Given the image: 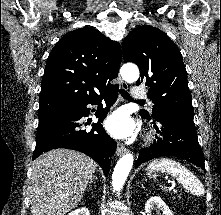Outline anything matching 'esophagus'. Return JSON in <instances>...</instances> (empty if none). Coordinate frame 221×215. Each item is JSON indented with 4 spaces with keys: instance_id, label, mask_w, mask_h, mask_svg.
Masks as SVG:
<instances>
[{
    "instance_id": "obj_1",
    "label": "esophagus",
    "mask_w": 221,
    "mask_h": 215,
    "mask_svg": "<svg viewBox=\"0 0 221 215\" xmlns=\"http://www.w3.org/2000/svg\"><path fill=\"white\" fill-rule=\"evenodd\" d=\"M118 79H119L120 87L123 88V89H128L127 83L124 82V81L121 79L120 76H118ZM126 151H127L126 147H125L123 144L119 143L118 146H117L116 154H117L118 156H121V155H123L124 153H126Z\"/></svg>"
}]
</instances>
